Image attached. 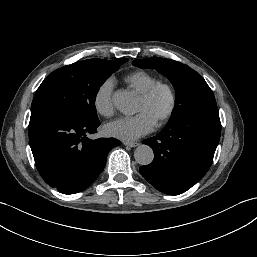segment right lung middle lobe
<instances>
[{"label": "right lung middle lobe", "mask_w": 257, "mask_h": 257, "mask_svg": "<svg viewBox=\"0 0 257 257\" xmlns=\"http://www.w3.org/2000/svg\"><path fill=\"white\" fill-rule=\"evenodd\" d=\"M128 59H91L52 72L39 86L31 116L57 115L72 121L97 120L95 99L100 86Z\"/></svg>", "instance_id": "right-lung-middle-lobe-1"}]
</instances>
